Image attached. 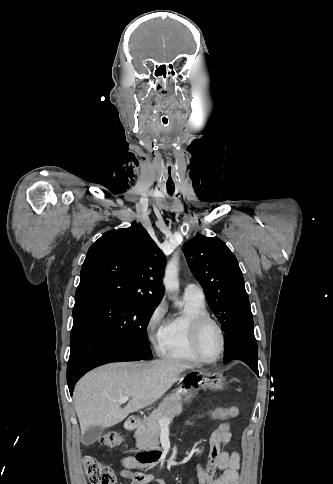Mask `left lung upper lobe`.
Here are the masks:
<instances>
[{
    "mask_svg": "<svg viewBox=\"0 0 333 484\" xmlns=\"http://www.w3.org/2000/svg\"><path fill=\"white\" fill-rule=\"evenodd\" d=\"M189 268L203 287L208 305L228 333L239 315L250 310L238 261L216 237L195 236L183 246Z\"/></svg>",
    "mask_w": 333,
    "mask_h": 484,
    "instance_id": "1",
    "label": "left lung upper lobe"
}]
</instances>
